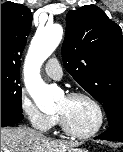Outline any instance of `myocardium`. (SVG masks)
<instances>
[{"label":"myocardium","instance_id":"obj_1","mask_svg":"<svg viewBox=\"0 0 123 152\" xmlns=\"http://www.w3.org/2000/svg\"><path fill=\"white\" fill-rule=\"evenodd\" d=\"M66 97L68 99L83 98V99L88 100L95 107V109L98 113V122H97L96 126L88 132H77L69 126L65 117L62 114L58 113V119H59V122H60V125H61L63 131L72 137L81 138V139L90 138V137L96 135L102 129L104 122H105V112H104V109H103L102 105L100 104V102L94 96L90 95L89 93L81 92V91L71 92V93L67 94Z\"/></svg>","mask_w":123,"mask_h":152}]
</instances>
